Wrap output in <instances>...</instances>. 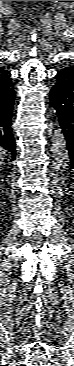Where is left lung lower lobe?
<instances>
[{
	"label": "left lung lower lobe",
	"instance_id": "left-lung-lower-lobe-1",
	"mask_svg": "<svg viewBox=\"0 0 74 366\" xmlns=\"http://www.w3.org/2000/svg\"><path fill=\"white\" fill-rule=\"evenodd\" d=\"M56 83L50 91V104L56 110L64 133L70 166L74 167V65L58 71Z\"/></svg>",
	"mask_w": 74,
	"mask_h": 366
}]
</instances>
